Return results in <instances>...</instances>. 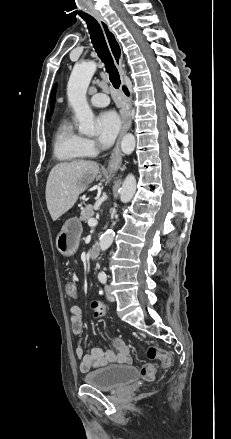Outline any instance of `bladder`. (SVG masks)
<instances>
[{
	"label": "bladder",
	"mask_w": 231,
	"mask_h": 439,
	"mask_svg": "<svg viewBox=\"0 0 231 439\" xmlns=\"http://www.w3.org/2000/svg\"><path fill=\"white\" fill-rule=\"evenodd\" d=\"M138 376L139 372L134 366L115 365L88 372L83 381L101 390L114 391L135 381Z\"/></svg>",
	"instance_id": "1"
}]
</instances>
